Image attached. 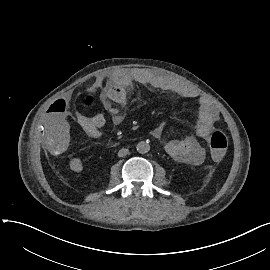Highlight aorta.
Listing matches in <instances>:
<instances>
[{"label": "aorta", "mask_w": 270, "mask_h": 270, "mask_svg": "<svg viewBox=\"0 0 270 270\" xmlns=\"http://www.w3.org/2000/svg\"><path fill=\"white\" fill-rule=\"evenodd\" d=\"M137 151L140 154H146L150 151V145L146 141H141L137 144Z\"/></svg>", "instance_id": "1"}]
</instances>
